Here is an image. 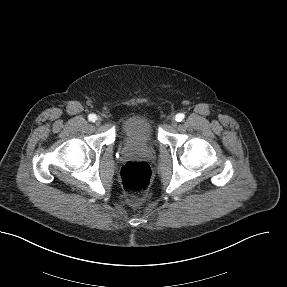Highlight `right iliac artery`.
I'll return each instance as SVG.
<instances>
[{
  "mask_svg": "<svg viewBox=\"0 0 287 287\" xmlns=\"http://www.w3.org/2000/svg\"><path fill=\"white\" fill-rule=\"evenodd\" d=\"M96 119H97V116L95 114H90L88 116V120L91 122H95Z\"/></svg>",
  "mask_w": 287,
  "mask_h": 287,
  "instance_id": "right-iliac-artery-1",
  "label": "right iliac artery"
}]
</instances>
